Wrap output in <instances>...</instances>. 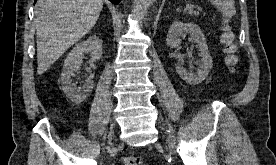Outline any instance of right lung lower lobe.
Listing matches in <instances>:
<instances>
[{
    "instance_id": "1",
    "label": "right lung lower lobe",
    "mask_w": 276,
    "mask_h": 165,
    "mask_svg": "<svg viewBox=\"0 0 276 165\" xmlns=\"http://www.w3.org/2000/svg\"><path fill=\"white\" fill-rule=\"evenodd\" d=\"M37 0H35V2H36ZM109 1H111L112 3H114V4H118L121 0H109Z\"/></svg>"
}]
</instances>
